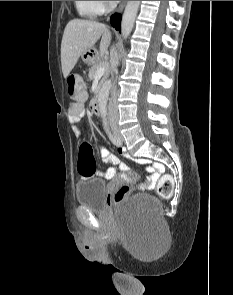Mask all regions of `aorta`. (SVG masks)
Here are the masks:
<instances>
[{"label":"aorta","mask_w":233,"mask_h":295,"mask_svg":"<svg viewBox=\"0 0 233 295\" xmlns=\"http://www.w3.org/2000/svg\"><path fill=\"white\" fill-rule=\"evenodd\" d=\"M139 6L140 1H127L121 22V32L123 39H127L132 31ZM110 86L111 81L109 80L104 85L98 98V106L102 113H105L107 110V100Z\"/></svg>","instance_id":"762f6f07"}]
</instances>
